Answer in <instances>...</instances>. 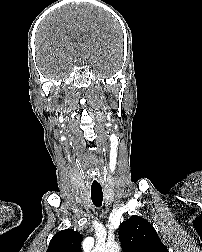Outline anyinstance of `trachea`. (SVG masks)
Listing matches in <instances>:
<instances>
[{
  "label": "trachea",
  "mask_w": 202,
  "mask_h": 252,
  "mask_svg": "<svg viewBox=\"0 0 202 252\" xmlns=\"http://www.w3.org/2000/svg\"><path fill=\"white\" fill-rule=\"evenodd\" d=\"M91 199L93 204L96 207H100L103 201L102 188L100 187H91Z\"/></svg>",
  "instance_id": "obj_1"
}]
</instances>
